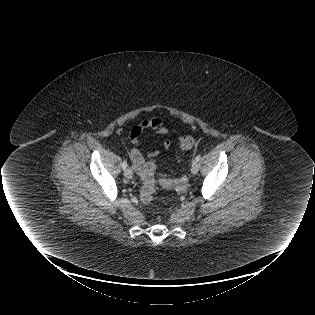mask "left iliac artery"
I'll use <instances>...</instances> for the list:
<instances>
[{
    "label": "left iliac artery",
    "mask_w": 315,
    "mask_h": 315,
    "mask_svg": "<svg viewBox=\"0 0 315 315\" xmlns=\"http://www.w3.org/2000/svg\"><path fill=\"white\" fill-rule=\"evenodd\" d=\"M200 159H201V155H198V156H196V158H195V161H200Z\"/></svg>",
    "instance_id": "left-iliac-artery-1"
}]
</instances>
